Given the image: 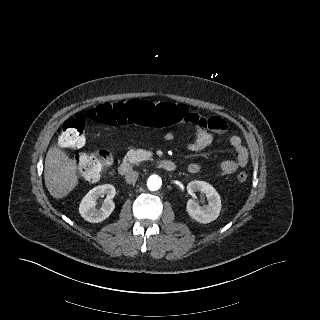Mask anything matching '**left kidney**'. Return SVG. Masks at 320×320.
<instances>
[{"mask_svg":"<svg viewBox=\"0 0 320 320\" xmlns=\"http://www.w3.org/2000/svg\"><path fill=\"white\" fill-rule=\"evenodd\" d=\"M187 191L190 195L200 192L205 195L208 204L200 206L195 200L189 199L186 211L189 216L199 223H210L216 220L221 211V199L215 188L204 181H192L187 185Z\"/></svg>","mask_w":320,"mask_h":320,"instance_id":"obj_1","label":"left kidney"}]
</instances>
